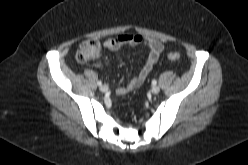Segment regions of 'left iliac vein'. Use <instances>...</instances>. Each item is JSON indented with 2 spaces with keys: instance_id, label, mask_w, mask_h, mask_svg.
Masks as SVG:
<instances>
[{
  "instance_id": "1",
  "label": "left iliac vein",
  "mask_w": 248,
  "mask_h": 165,
  "mask_svg": "<svg viewBox=\"0 0 248 165\" xmlns=\"http://www.w3.org/2000/svg\"><path fill=\"white\" fill-rule=\"evenodd\" d=\"M151 92L153 93V94H158L159 92H160V88L158 87V86H152V88H151Z\"/></svg>"
}]
</instances>
